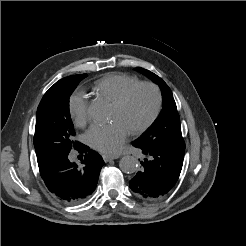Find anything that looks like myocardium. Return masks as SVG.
<instances>
[{"label": "myocardium", "instance_id": "f54148a6", "mask_svg": "<svg viewBox=\"0 0 246 246\" xmlns=\"http://www.w3.org/2000/svg\"><path fill=\"white\" fill-rule=\"evenodd\" d=\"M142 87H148L154 91L155 96H156V104H155V108H154L153 113L147 119V121H145L139 127L130 130V133L133 135H139V134L144 133L157 120V118L161 112L162 105H163V96H162V92H161L160 88L152 82H146V81L139 82V83L132 85L131 87L127 88L117 99H115L113 101V105H115L117 107H122L127 103V101L132 96V94L136 90H138L139 88H142Z\"/></svg>", "mask_w": 246, "mask_h": 246}]
</instances>
